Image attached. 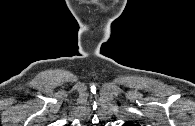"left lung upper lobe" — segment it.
Instances as JSON below:
<instances>
[{"label":"left lung upper lobe","instance_id":"obj_1","mask_svg":"<svg viewBox=\"0 0 195 126\" xmlns=\"http://www.w3.org/2000/svg\"><path fill=\"white\" fill-rule=\"evenodd\" d=\"M130 126H134V125L130 122Z\"/></svg>","mask_w":195,"mask_h":126}]
</instances>
